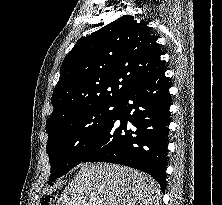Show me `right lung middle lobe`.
Masks as SVG:
<instances>
[{
    "label": "right lung middle lobe",
    "instance_id": "dd1d6c3e",
    "mask_svg": "<svg viewBox=\"0 0 222 205\" xmlns=\"http://www.w3.org/2000/svg\"><path fill=\"white\" fill-rule=\"evenodd\" d=\"M120 102H103L81 109L46 126L51 174L49 184L76 166L95 137L112 121Z\"/></svg>",
    "mask_w": 222,
    "mask_h": 205
}]
</instances>
